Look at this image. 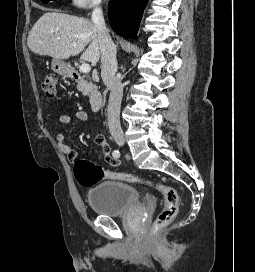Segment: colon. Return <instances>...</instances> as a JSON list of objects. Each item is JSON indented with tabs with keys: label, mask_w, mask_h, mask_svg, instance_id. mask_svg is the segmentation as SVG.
Instances as JSON below:
<instances>
[{
	"label": "colon",
	"mask_w": 255,
	"mask_h": 272,
	"mask_svg": "<svg viewBox=\"0 0 255 272\" xmlns=\"http://www.w3.org/2000/svg\"><path fill=\"white\" fill-rule=\"evenodd\" d=\"M41 88L48 97L54 98L57 95V76L54 73L46 74L41 81ZM74 175L77 181L85 186L90 187L104 178L127 181L145 186L156 188L163 196L164 206L157 215L153 223V229L157 230L169 224L177 215L179 208V198L177 191L166 184L156 183L139 178L135 175L114 172L106 170L101 166L87 160L80 159L74 165Z\"/></svg>",
	"instance_id": "colon-1"
}]
</instances>
